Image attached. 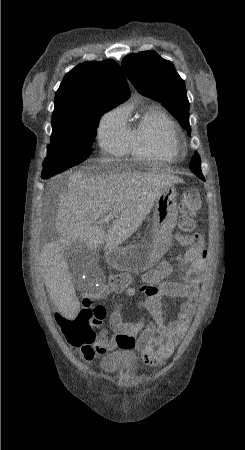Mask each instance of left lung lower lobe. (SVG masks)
Segmentation results:
<instances>
[{"label": "left lung lower lobe", "instance_id": "1", "mask_svg": "<svg viewBox=\"0 0 245 450\" xmlns=\"http://www.w3.org/2000/svg\"><path fill=\"white\" fill-rule=\"evenodd\" d=\"M200 179H202V180H204V181H205V179H204V178H200Z\"/></svg>", "mask_w": 245, "mask_h": 450}]
</instances>
